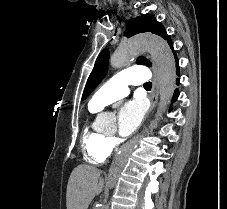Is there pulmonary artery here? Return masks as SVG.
<instances>
[{"label":"pulmonary artery","instance_id":"obj_1","mask_svg":"<svg viewBox=\"0 0 227 209\" xmlns=\"http://www.w3.org/2000/svg\"><path fill=\"white\" fill-rule=\"evenodd\" d=\"M153 74L149 73L147 66H130L129 70H123L122 73H116L105 84L104 88L95 91V95H91L90 105L94 109L108 104L116 98H121L129 93L130 84L140 85L149 83Z\"/></svg>","mask_w":227,"mask_h":209}]
</instances>
